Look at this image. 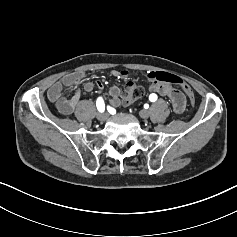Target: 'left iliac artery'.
I'll return each mask as SVG.
<instances>
[{
	"label": "left iliac artery",
	"instance_id": "left-iliac-artery-1",
	"mask_svg": "<svg viewBox=\"0 0 237 237\" xmlns=\"http://www.w3.org/2000/svg\"><path fill=\"white\" fill-rule=\"evenodd\" d=\"M149 100H150L151 102H155V101L157 100V95L154 94V93L150 94Z\"/></svg>",
	"mask_w": 237,
	"mask_h": 237
}]
</instances>
